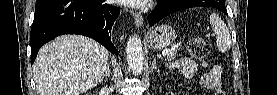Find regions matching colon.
<instances>
[{
	"label": "colon",
	"instance_id": "obj_1",
	"mask_svg": "<svg viewBox=\"0 0 277 95\" xmlns=\"http://www.w3.org/2000/svg\"><path fill=\"white\" fill-rule=\"evenodd\" d=\"M187 49L194 59L201 60L209 54L210 43L204 36L196 34L188 40Z\"/></svg>",
	"mask_w": 277,
	"mask_h": 95
}]
</instances>
